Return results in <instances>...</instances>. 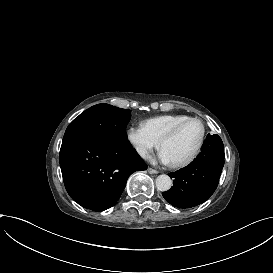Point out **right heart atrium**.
<instances>
[{"label": "right heart atrium", "mask_w": 273, "mask_h": 273, "mask_svg": "<svg viewBox=\"0 0 273 273\" xmlns=\"http://www.w3.org/2000/svg\"><path fill=\"white\" fill-rule=\"evenodd\" d=\"M127 136L137 154L143 159H147L158 146V142L143 124L130 126Z\"/></svg>", "instance_id": "1"}]
</instances>
